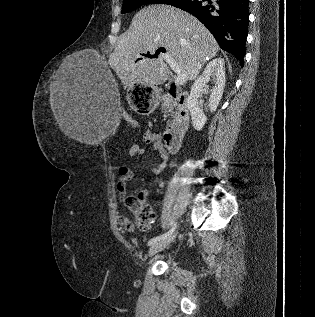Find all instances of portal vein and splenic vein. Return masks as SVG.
Instances as JSON below:
<instances>
[{
    "label": "portal vein and splenic vein",
    "mask_w": 315,
    "mask_h": 317,
    "mask_svg": "<svg viewBox=\"0 0 315 317\" xmlns=\"http://www.w3.org/2000/svg\"><path fill=\"white\" fill-rule=\"evenodd\" d=\"M165 62L170 66V68L177 74L175 78V83L181 85L186 81V74L182 71L178 63L169 55L164 56Z\"/></svg>",
    "instance_id": "18ae733b"
}]
</instances>
